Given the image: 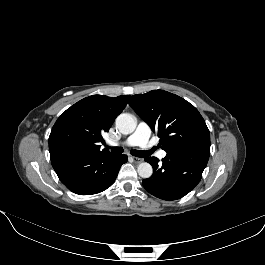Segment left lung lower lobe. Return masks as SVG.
Listing matches in <instances>:
<instances>
[{
	"mask_svg": "<svg viewBox=\"0 0 265 265\" xmlns=\"http://www.w3.org/2000/svg\"><path fill=\"white\" fill-rule=\"evenodd\" d=\"M210 155V144H198L167 153L158 165L155 157L146 158L154 174L142 181L144 188L163 200L184 197L199 183Z\"/></svg>",
	"mask_w": 265,
	"mask_h": 265,
	"instance_id": "1",
	"label": "left lung lower lobe"
}]
</instances>
